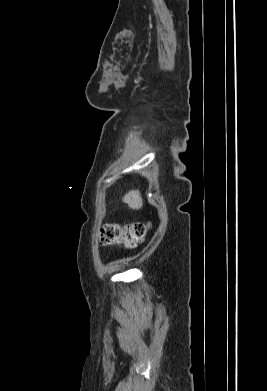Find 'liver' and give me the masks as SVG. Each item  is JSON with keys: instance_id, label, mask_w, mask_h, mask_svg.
I'll return each instance as SVG.
<instances>
[{"instance_id": "6515ba94", "label": "liver", "mask_w": 267, "mask_h": 391, "mask_svg": "<svg viewBox=\"0 0 267 391\" xmlns=\"http://www.w3.org/2000/svg\"><path fill=\"white\" fill-rule=\"evenodd\" d=\"M123 201L134 210H139L143 206V200L139 190H132L125 194V196L123 197Z\"/></svg>"}]
</instances>
